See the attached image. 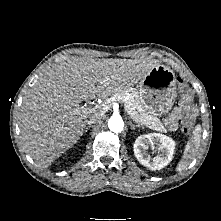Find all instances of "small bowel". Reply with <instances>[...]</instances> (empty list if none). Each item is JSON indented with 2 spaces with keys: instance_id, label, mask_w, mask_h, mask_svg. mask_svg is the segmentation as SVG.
Instances as JSON below:
<instances>
[{
  "instance_id": "c3829d8e",
  "label": "small bowel",
  "mask_w": 221,
  "mask_h": 221,
  "mask_svg": "<svg viewBox=\"0 0 221 221\" xmlns=\"http://www.w3.org/2000/svg\"><path fill=\"white\" fill-rule=\"evenodd\" d=\"M188 109H195L194 106L192 105V101L191 99L186 100V99H182L179 103L178 106H176L172 112L170 113V115L168 116V118L166 119V125L168 126L169 129L171 130H175L177 127V122L182 114L183 111H186Z\"/></svg>"
}]
</instances>
